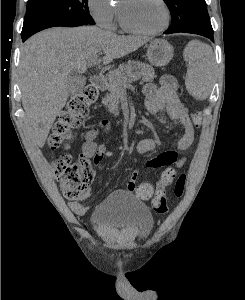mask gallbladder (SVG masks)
<instances>
[{"label": "gallbladder", "mask_w": 245, "mask_h": 300, "mask_svg": "<svg viewBox=\"0 0 245 300\" xmlns=\"http://www.w3.org/2000/svg\"><path fill=\"white\" fill-rule=\"evenodd\" d=\"M86 83V79L80 75H69L65 80L69 95H74L80 92Z\"/></svg>", "instance_id": "1"}]
</instances>
